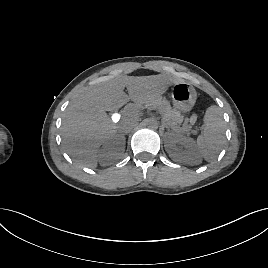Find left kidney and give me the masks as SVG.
I'll return each instance as SVG.
<instances>
[{"mask_svg":"<svg viewBox=\"0 0 268 268\" xmlns=\"http://www.w3.org/2000/svg\"><path fill=\"white\" fill-rule=\"evenodd\" d=\"M165 150L170 158L186 164H199L200 154L192 138L180 133L168 132L166 134Z\"/></svg>","mask_w":268,"mask_h":268,"instance_id":"5707ae66","label":"left kidney"}]
</instances>
